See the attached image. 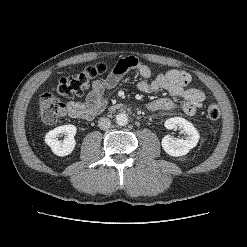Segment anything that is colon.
<instances>
[{
    "label": "colon",
    "instance_id": "1",
    "mask_svg": "<svg viewBox=\"0 0 247 247\" xmlns=\"http://www.w3.org/2000/svg\"><path fill=\"white\" fill-rule=\"evenodd\" d=\"M128 67V63L119 61L112 67V70L124 71ZM109 69V65L98 63L85 68L79 73L60 79L53 92H46L40 97L38 113L42 121L53 124L65 116V105L57 95L66 97L81 96ZM205 116L209 121H217L220 117L219 107L216 104H209L206 107Z\"/></svg>",
    "mask_w": 247,
    "mask_h": 247
}]
</instances>
